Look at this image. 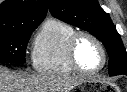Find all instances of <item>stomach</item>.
<instances>
[{"label":"stomach","instance_id":"stomach-1","mask_svg":"<svg viewBox=\"0 0 127 92\" xmlns=\"http://www.w3.org/2000/svg\"><path fill=\"white\" fill-rule=\"evenodd\" d=\"M94 87V80L89 79V80H84L78 85V90L82 92H88V90H91Z\"/></svg>","mask_w":127,"mask_h":92}]
</instances>
